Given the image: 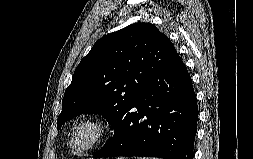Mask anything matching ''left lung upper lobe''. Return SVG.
Instances as JSON below:
<instances>
[{"instance_id": "1", "label": "left lung upper lobe", "mask_w": 253, "mask_h": 159, "mask_svg": "<svg viewBox=\"0 0 253 159\" xmlns=\"http://www.w3.org/2000/svg\"><path fill=\"white\" fill-rule=\"evenodd\" d=\"M176 54L167 36L150 23L102 37L75 69L57 128L82 113H101L116 132L145 87Z\"/></svg>"}]
</instances>
